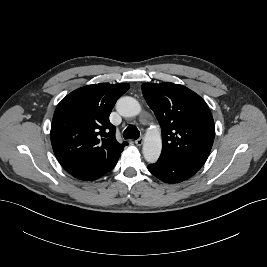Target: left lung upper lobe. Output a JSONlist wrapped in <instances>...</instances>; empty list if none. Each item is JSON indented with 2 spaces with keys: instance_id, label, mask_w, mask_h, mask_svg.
<instances>
[{
  "instance_id": "5c2ea615",
  "label": "left lung upper lobe",
  "mask_w": 267,
  "mask_h": 267,
  "mask_svg": "<svg viewBox=\"0 0 267 267\" xmlns=\"http://www.w3.org/2000/svg\"><path fill=\"white\" fill-rule=\"evenodd\" d=\"M142 93L161 126L160 157L204 165L215 136L206 102L187 87L170 82L144 83Z\"/></svg>"
}]
</instances>
